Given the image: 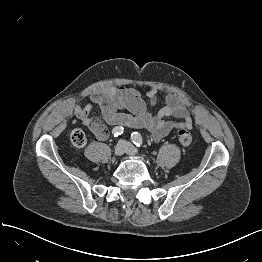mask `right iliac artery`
<instances>
[{"mask_svg":"<svg viewBox=\"0 0 262 262\" xmlns=\"http://www.w3.org/2000/svg\"><path fill=\"white\" fill-rule=\"evenodd\" d=\"M115 137H118L123 133V127H115L112 131Z\"/></svg>","mask_w":262,"mask_h":262,"instance_id":"1","label":"right iliac artery"}]
</instances>
